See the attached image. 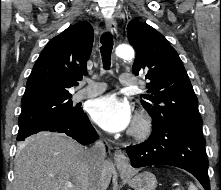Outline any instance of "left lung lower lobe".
Instances as JSON below:
<instances>
[{"label":"left lung lower lobe","instance_id":"1","mask_svg":"<svg viewBox=\"0 0 221 190\" xmlns=\"http://www.w3.org/2000/svg\"><path fill=\"white\" fill-rule=\"evenodd\" d=\"M133 167L171 165L194 175L205 190H210L208 159L203 136L177 124L160 122L152 125L145 142L126 148Z\"/></svg>","mask_w":221,"mask_h":190}]
</instances>
